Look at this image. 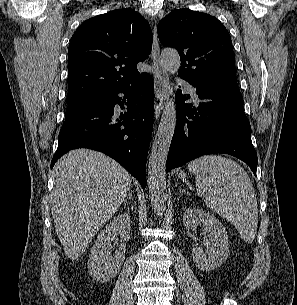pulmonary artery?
<instances>
[{"mask_svg":"<svg viewBox=\"0 0 297 305\" xmlns=\"http://www.w3.org/2000/svg\"><path fill=\"white\" fill-rule=\"evenodd\" d=\"M183 82V84H184V86H185V89L189 92V93H191L193 96H195V88L192 86V85H190V84H188V83H186V82H184V81H182Z\"/></svg>","mask_w":297,"mask_h":305,"instance_id":"obj_1","label":"pulmonary artery"}]
</instances>
